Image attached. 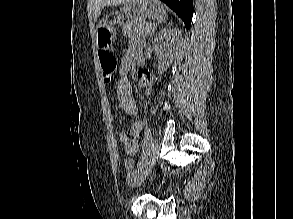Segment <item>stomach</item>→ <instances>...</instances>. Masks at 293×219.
Returning a JSON list of instances; mask_svg holds the SVG:
<instances>
[{"label": "stomach", "mask_w": 293, "mask_h": 219, "mask_svg": "<svg viewBox=\"0 0 293 219\" xmlns=\"http://www.w3.org/2000/svg\"><path fill=\"white\" fill-rule=\"evenodd\" d=\"M116 15H106L96 25V45L99 49L108 50L114 45L124 18L161 21L167 17L166 9L159 0H137L127 3Z\"/></svg>", "instance_id": "1"}]
</instances>
